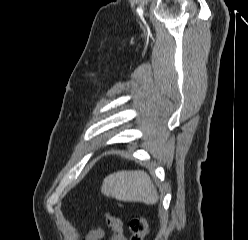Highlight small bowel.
I'll list each match as a JSON object with an SVG mask.
<instances>
[{
    "label": "small bowel",
    "instance_id": "c3829d8e",
    "mask_svg": "<svg viewBox=\"0 0 248 240\" xmlns=\"http://www.w3.org/2000/svg\"><path fill=\"white\" fill-rule=\"evenodd\" d=\"M105 219L107 224L112 229L111 240H127L123 222L112 214H106ZM104 237V231L97 227L92 229L82 240H100Z\"/></svg>",
    "mask_w": 248,
    "mask_h": 240
}]
</instances>
